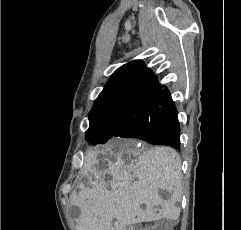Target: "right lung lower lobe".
Listing matches in <instances>:
<instances>
[{
  "label": "right lung lower lobe",
  "instance_id": "obj_1",
  "mask_svg": "<svg viewBox=\"0 0 241 230\" xmlns=\"http://www.w3.org/2000/svg\"><path fill=\"white\" fill-rule=\"evenodd\" d=\"M144 113L145 123L142 128L135 131L134 138L151 144L180 147L177 109L167 87L160 89L147 104Z\"/></svg>",
  "mask_w": 241,
  "mask_h": 230
}]
</instances>
